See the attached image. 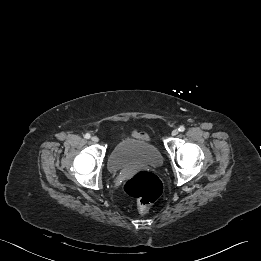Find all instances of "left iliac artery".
Wrapping results in <instances>:
<instances>
[{
	"mask_svg": "<svg viewBox=\"0 0 261 261\" xmlns=\"http://www.w3.org/2000/svg\"><path fill=\"white\" fill-rule=\"evenodd\" d=\"M180 132H184L185 131V127L184 126H180L178 129Z\"/></svg>",
	"mask_w": 261,
	"mask_h": 261,
	"instance_id": "44dca946",
	"label": "left iliac artery"
}]
</instances>
